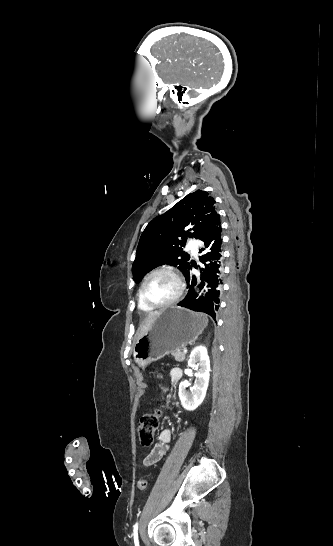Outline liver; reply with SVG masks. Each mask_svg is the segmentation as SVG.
<instances>
[{
	"instance_id": "6515ba94",
	"label": "liver",
	"mask_w": 333,
	"mask_h": 546,
	"mask_svg": "<svg viewBox=\"0 0 333 546\" xmlns=\"http://www.w3.org/2000/svg\"><path fill=\"white\" fill-rule=\"evenodd\" d=\"M162 311H155L150 313L147 318L145 319L144 323L140 326L139 329V338L142 337L151 327L153 321L158 317Z\"/></svg>"
}]
</instances>
